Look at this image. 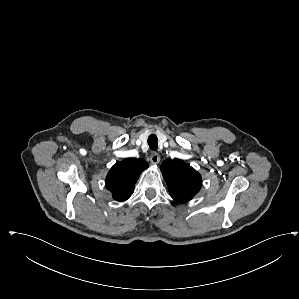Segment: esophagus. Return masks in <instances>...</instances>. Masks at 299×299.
I'll use <instances>...</instances> for the list:
<instances>
[{
    "label": "esophagus",
    "instance_id": "1",
    "mask_svg": "<svg viewBox=\"0 0 299 299\" xmlns=\"http://www.w3.org/2000/svg\"><path fill=\"white\" fill-rule=\"evenodd\" d=\"M150 161L152 164H158L160 162V156L157 153H152L150 156Z\"/></svg>",
    "mask_w": 299,
    "mask_h": 299
}]
</instances>
